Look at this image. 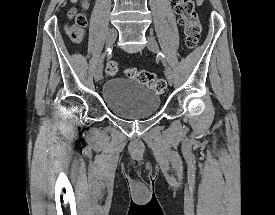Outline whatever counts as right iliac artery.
Masks as SVG:
<instances>
[{"label":"right iliac artery","instance_id":"1","mask_svg":"<svg viewBox=\"0 0 275 215\" xmlns=\"http://www.w3.org/2000/svg\"><path fill=\"white\" fill-rule=\"evenodd\" d=\"M106 51H107V52H111V48H110V47H108Z\"/></svg>","mask_w":275,"mask_h":215}]
</instances>
